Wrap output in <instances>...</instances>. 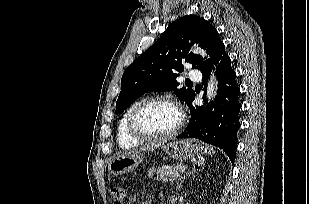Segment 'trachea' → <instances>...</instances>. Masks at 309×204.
<instances>
[{
    "mask_svg": "<svg viewBox=\"0 0 309 204\" xmlns=\"http://www.w3.org/2000/svg\"><path fill=\"white\" fill-rule=\"evenodd\" d=\"M185 83L189 84V83H192L191 81H186Z\"/></svg>",
    "mask_w": 309,
    "mask_h": 204,
    "instance_id": "3493384b",
    "label": "trachea"
}]
</instances>
